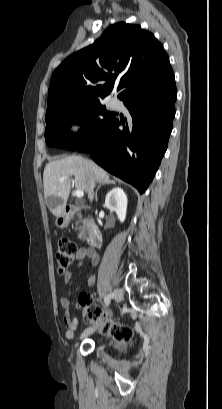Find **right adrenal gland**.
Here are the masks:
<instances>
[{
  "mask_svg": "<svg viewBox=\"0 0 222 409\" xmlns=\"http://www.w3.org/2000/svg\"><path fill=\"white\" fill-rule=\"evenodd\" d=\"M106 184H115L114 181L110 180L109 177L105 178L102 182H100L99 186L97 187V190L95 192V199L98 201V191L101 188V186L106 185Z\"/></svg>",
  "mask_w": 222,
  "mask_h": 409,
  "instance_id": "1",
  "label": "right adrenal gland"
}]
</instances>
